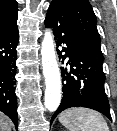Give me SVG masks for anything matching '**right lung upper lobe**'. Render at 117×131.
<instances>
[{
  "mask_svg": "<svg viewBox=\"0 0 117 131\" xmlns=\"http://www.w3.org/2000/svg\"><path fill=\"white\" fill-rule=\"evenodd\" d=\"M17 16L16 0H0V38L17 29Z\"/></svg>",
  "mask_w": 117,
  "mask_h": 131,
  "instance_id": "1",
  "label": "right lung upper lobe"
}]
</instances>
